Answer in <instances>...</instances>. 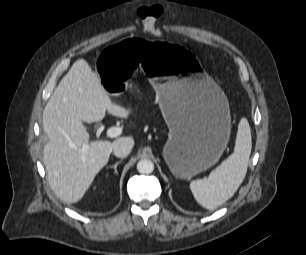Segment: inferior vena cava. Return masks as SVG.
<instances>
[{
	"mask_svg": "<svg viewBox=\"0 0 306 255\" xmlns=\"http://www.w3.org/2000/svg\"><path fill=\"white\" fill-rule=\"evenodd\" d=\"M133 148V141L131 138H122L118 140L113 146V154L116 157H127Z\"/></svg>",
	"mask_w": 306,
	"mask_h": 255,
	"instance_id": "obj_1",
	"label": "inferior vena cava"
}]
</instances>
